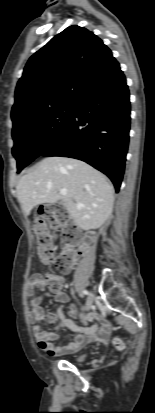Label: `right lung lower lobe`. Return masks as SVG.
<instances>
[{
	"instance_id": "98d812e1",
	"label": "right lung lower lobe",
	"mask_w": 155,
	"mask_h": 413,
	"mask_svg": "<svg viewBox=\"0 0 155 413\" xmlns=\"http://www.w3.org/2000/svg\"><path fill=\"white\" fill-rule=\"evenodd\" d=\"M130 102L120 67L75 102L59 138L40 156L80 159L106 174L119 191L129 144Z\"/></svg>"
}]
</instances>
